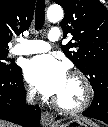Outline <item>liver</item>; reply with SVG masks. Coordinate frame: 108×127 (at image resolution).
Segmentation results:
<instances>
[{
    "label": "liver",
    "instance_id": "1",
    "mask_svg": "<svg viewBox=\"0 0 108 127\" xmlns=\"http://www.w3.org/2000/svg\"><path fill=\"white\" fill-rule=\"evenodd\" d=\"M79 120H82L84 122L93 124L90 120H88L87 118H78ZM0 127H16V125L11 124L9 122H5V121H0Z\"/></svg>",
    "mask_w": 108,
    "mask_h": 127
}]
</instances>
